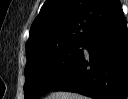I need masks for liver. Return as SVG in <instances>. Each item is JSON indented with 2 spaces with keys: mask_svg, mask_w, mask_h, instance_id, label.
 Segmentation results:
<instances>
[{
  "mask_svg": "<svg viewBox=\"0 0 128 99\" xmlns=\"http://www.w3.org/2000/svg\"><path fill=\"white\" fill-rule=\"evenodd\" d=\"M46 99H88L85 96L70 92H55Z\"/></svg>",
  "mask_w": 128,
  "mask_h": 99,
  "instance_id": "obj_1",
  "label": "liver"
}]
</instances>
